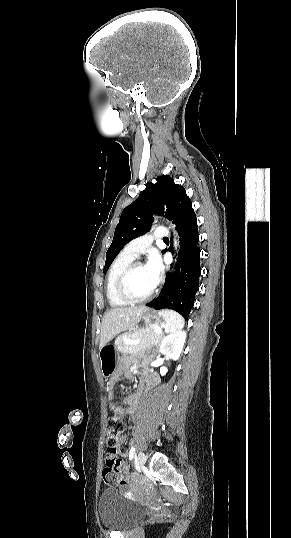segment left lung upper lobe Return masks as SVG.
I'll list each match as a JSON object with an SVG mask.
<instances>
[{"instance_id":"5c2ea615","label":"left lung upper lobe","mask_w":291,"mask_h":538,"mask_svg":"<svg viewBox=\"0 0 291 538\" xmlns=\"http://www.w3.org/2000/svg\"><path fill=\"white\" fill-rule=\"evenodd\" d=\"M156 180L155 184L148 183L139 197L123 210L106 253L104 273L128 242L150 230L153 214L165 215L177 225L193 210L183 186L175 184L167 175L159 176Z\"/></svg>"}]
</instances>
